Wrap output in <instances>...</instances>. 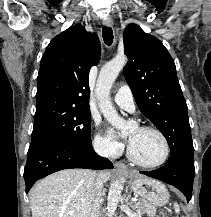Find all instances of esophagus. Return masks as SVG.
<instances>
[{"mask_svg":"<svg viewBox=\"0 0 211 217\" xmlns=\"http://www.w3.org/2000/svg\"><path fill=\"white\" fill-rule=\"evenodd\" d=\"M103 25L106 26V27H112L113 26L112 19L111 18L103 19ZM114 165L118 170H121V171H126L127 170V166L122 162H115Z\"/></svg>","mask_w":211,"mask_h":217,"instance_id":"34e87169","label":"esophagus"}]
</instances>
